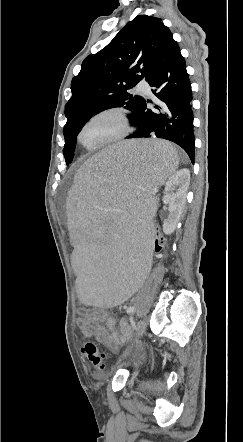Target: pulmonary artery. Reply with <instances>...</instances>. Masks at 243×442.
Returning <instances> with one entry per match:
<instances>
[{
  "instance_id": "obj_1",
  "label": "pulmonary artery",
  "mask_w": 243,
  "mask_h": 442,
  "mask_svg": "<svg viewBox=\"0 0 243 442\" xmlns=\"http://www.w3.org/2000/svg\"><path fill=\"white\" fill-rule=\"evenodd\" d=\"M136 91L138 93L145 94V95H150L151 94L150 86L145 81H141V82H139L137 84Z\"/></svg>"
}]
</instances>
